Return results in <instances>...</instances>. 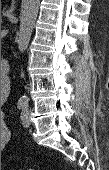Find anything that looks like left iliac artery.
Instances as JSON below:
<instances>
[{"instance_id": "1", "label": "left iliac artery", "mask_w": 109, "mask_h": 170, "mask_svg": "<svg viewBox=\"0 0 109 170\" xmlns=\"http://www.w3.org/2000/svg\"><path fill=\"white\" fill-rule=\"evenodd\" d=\"M26 112H27V109L24 108V109H23V112H22V116H23V114L26 113ZM22 116H21V117H22Z\"/></svg>"}]
</instances>
